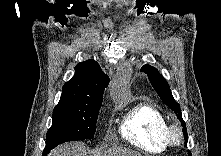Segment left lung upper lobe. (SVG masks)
<instances>
[{
    "instance_id": "obj_1",
    "label": "left lung upper lobe",
    "mask_w": 221,
    "mask_h": 156,
    "mask_svg": "<svg viewBox=\"0 0 221 156\" xmlns=\"http://www.w3.org/2000/svg\"><path fill=\"white\" fill-rule=\"evenodd\" d=\"M142 70L148 75L153 88L160 96V98L170 109H172L177 114L178 117L181 118L182 114L180 106L173 98L170 87L164 77L158 72L155 67L149 64L144 65L142 67Z\"/></svg>"
}]
</instances>
